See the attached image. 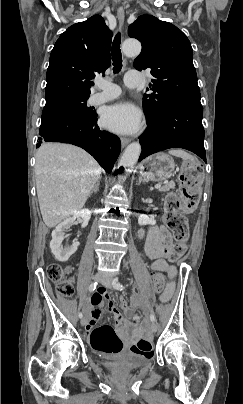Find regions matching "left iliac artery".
I'll return each instance as SVG.
<instances>
[{"mask_svg": "<svg viewBox=\"0 0 243 404\" xmlns=\"http://www.w3.org/2000/svg\"><path fill=\"white\" fill-rule=\"evenodd\" d=\"M113 287L117 290H123L124 286L118 281V278L114 279ZM150 319L152 322H155V315L153 313L150 314Z\"/></svg>", "mask_w": 243, "mask_h": 404, "instance_id": "44dca946", "label": "left iliac artery"}]
</instances>
